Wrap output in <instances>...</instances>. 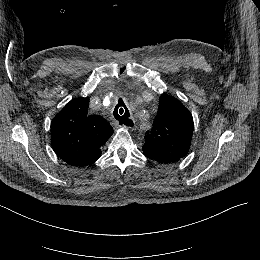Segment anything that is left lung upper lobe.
Returning <instances> with one entry per match:
<instances>
[{"instance_id":"1","label":"left lung upper lobe","mask_w":260,"mask_h":260,"mask_svg":"<svg viewBox=\"0 0 260 260\" xmlns=\"http://www.w3.org/2000/svg\"><path fill=\"white\" fill-rule=\"evenodd\" d=\"M193 119L176 98L162 94L152 129L146 132L143 153L160 164H173L183 159L190 148Z\"/></svg>"}]
</instances>
